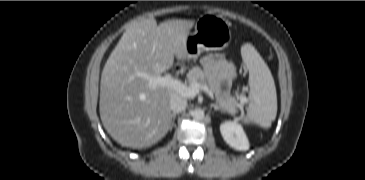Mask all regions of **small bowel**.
<instances>
[{
    "label": "small bowel",
    "mask_w": 365,
    "mask_h": 180,
    "mask_svg": "<svg viewBox=\"0 0 365 180\" xmlns=\"http://www.w3.org/2000/svg\"><path fill=\"white\" fill-rule=\"evenodd\" d=\"M202 65L215 86L222 84L225 88H229L236 79L234 64L223 60L219 54L204 56Z\"/></svg>",
    "instance_id": "small-bowel-1"
}]
</instances>
